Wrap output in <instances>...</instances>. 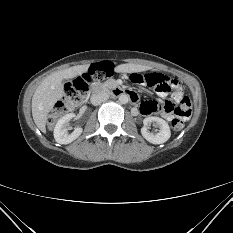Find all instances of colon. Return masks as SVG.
Here are the masks:
<instances>
[{
	"instance_id": "5ec220e1",
	"label": "colon",
	"mask_w": 233,
	"mask_h": 233,
	"mask_svg": "<svg viewBox=\"0 0 233 233\" xmlns=\"http://www.w3.org/2000/svg\"><path fill=\"white\" fill-rule=\"evenodd\" d=\"M112 74V66L109 63H101L92 66L87 73L76 78L66 87L64 96L55 104L51 114L48 117V126L53 127L56 122L65 113L79 105L89 91L91 81L102 80ZM133 83L145 84L155 88L157 91H168L174 87L172 79L166 78L158 73L139 74L133 73L129 76ZM167 106L175 112V117L171 121V126L175 131H179L184 127V121L191 115L192 106L190 100L185 97L177 107L167 103ZM161 104L152 102L153 110L160 109Z\"/></svg>"
}]
</instances>
